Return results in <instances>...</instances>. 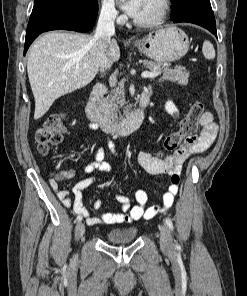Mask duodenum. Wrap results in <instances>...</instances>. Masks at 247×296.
<instances>
[{
	"instance_id": "obj_1",
	"label": "duodenum",
	"mask_w": 247,
	"mask_h": 296,
	"mask_svg": "<svg viewBox=\"0 0 247 296\" xmlns=\"http://www.w3.org/2000/svg\"><path fill=\"white\" fill-rule=\"evenodd\" d=\"M106 90V85L101 82L97 83L91 90L85 107L88 118L99 124L101 129L108 134L128 136L134 133L143 123L145 108L152 97L151 89H147L139 95L135 107L121 120L109 118L100 108L99 101Z\"/></svg>"
}]
</instances>
